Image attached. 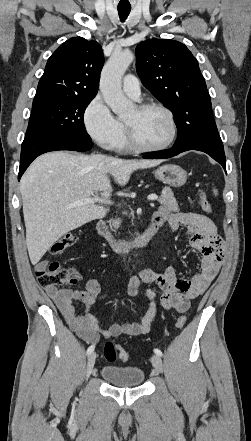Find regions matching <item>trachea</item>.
Segmentation results:
<instances>
[{"label":"trachea","mask_w":251,"mask_h":441,"mask_svg":"<svg viewBox=\"0 0 251 441\" xmlns=\"http://www.w3.org/2000/svg\"><path fill=\"white\" fill-rule=\"evenodd\" d=\"M131 11V8H118V14L121 21H125Z\"/></svg>","instance_id":"1"}]
</instances>
